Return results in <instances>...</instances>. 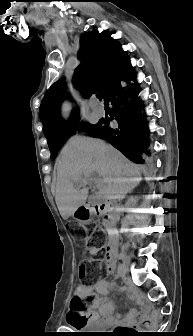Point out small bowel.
I'll use <instances>...</instances> for the list:
<instances>
[{
    "label": "small bowel",
    "instance_id": "1",
    "mask_svg": "<svg viewBox=\"0 0 193 336\" xmlns=\"http://www.w3.org/2000/svg\"><path fill=\"white\" fill-rule=\"evenodd\" d=\"M106 269L108 273H112L115 269V265L107 262ZM109 289L110 285L107 280L98 279L92 285L79 286L77 289V294L80 296H88L90 294L96 293L102 296H107ZM128 295L134 300L138 301L140 299L136 292L131 291L128 293ZM113 312L114 305L110 301L100 300L97 302L95 310H93L89 316L74 315L71 324L77 328H81L88 322H94L98 319H102L106 325H111L115 322ZM124 321L125 323L131 324L133 326H145L152 322V320L146 316H137L133 313L127 315ZM106 325L103 324L104 327Z\"/></svg>",
    "mask_w": 193,
    "mask_h": 336
}]
</instances>
